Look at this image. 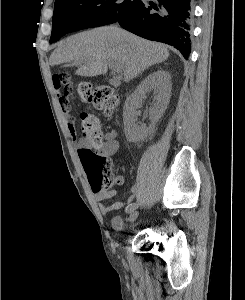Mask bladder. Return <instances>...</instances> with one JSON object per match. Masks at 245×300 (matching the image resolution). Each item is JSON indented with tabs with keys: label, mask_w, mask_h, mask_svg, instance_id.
I'll return each instance as SVG.
<instances>
[{
	"label": "bladder",
	"mask_w": 245,
	"mask_h": 300,
	"mask_svg": "<svg viewBox=\"0 0 245 300\" xmlns=\"http://www.w3.org/2000/svg\"><path fill=\"white\" fill-rule=\"evenodd\" d=\"M112 226L118 232H124L126 230V224L121 215H115L113 217Z\"/></svg>",
	"instance_id": "bladder-1"
}]
</instances>
